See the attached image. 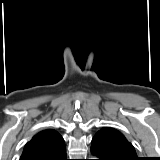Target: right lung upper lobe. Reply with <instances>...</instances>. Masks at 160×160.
I'll use <instances>...</instances> for the list:
<instances>
[{"mask_svg": "<svg viewBox=\"0 0 160 160\" xmlns=\"http://www.w3.org/2000/svg\"><path fill=\"white\" fill-rule=\"evenodd\" d=\"M65 149L64 139L53 129L40 131L26 143L20 160H49Z\"/></svg>", "mask_w": 160, "mask_h": 160, "instance_id": "obj_1", "label": "right lung upper lobe"}]
</instances>
